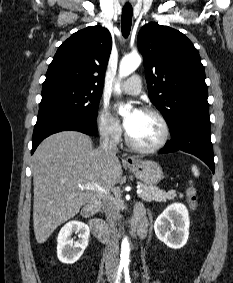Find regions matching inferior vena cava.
Here are the masks:
<instances>
[{
  "label": "inferior vena cava",
  "instance_id": "1",
  "mask_svg": "<svg viewBox=\"0 0 233 283\" xmlns=\"http://www.w3.org/2000/svg\"><path fill=\"white\" fill-rule=\"evenodd\" d=\"M100 149L103 150L105 154L116 155L118 152L117 143L110 140L108 131H105L101 134ZM105 213L109 220L112 233L107 248L105 267L106 270H113L118 268L119 263V242L116 230L118 213L116 212V209L108 202L105 206Z\"/></svg>",
  "mask_w": 233,
  "mask_h": 283
}]
</instances>
